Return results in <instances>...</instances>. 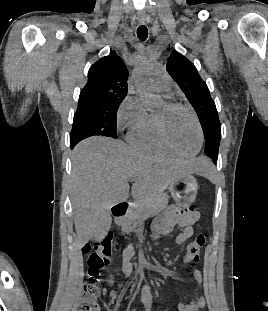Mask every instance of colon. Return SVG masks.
<instances>
[{
  "label": "colon",
  "instance_id": "5ec220e1",
  "mask_svg": "<svg viewBox=\"0 0 268 311\" xmlns=\"http://www.w3.org/2000/svg\"><path fill=\"white\" fill-rule=\"evenodd\" d=\"M207 235L205 232L199 233L191 242L185 254V262L192 263L199 260L200 253L206 244ZM96 241V240H95ZM94 241V242H95ZM97 245H86L83 249L87 256L88 277L83 285L81 294V305L77 311H99L97 297L101 291L100 270L108 265L113 257V247L111 235L105 234L101 239H97Z\"/></svg>",
  "mask_w": 268,
  "mask_h": 311
}]
</instances>
